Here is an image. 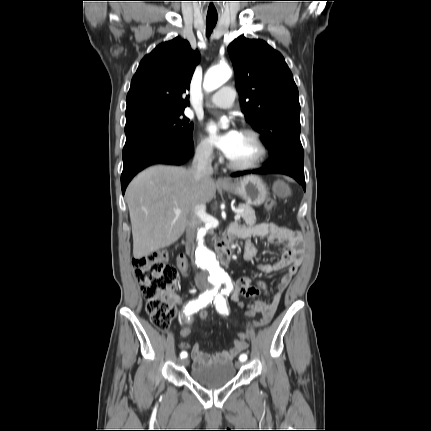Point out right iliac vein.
<instances>
[{
    "instance_id": "obj_1",
    "label": "right iliac vein",
    "mask_w": 431,
    "mask_h": 431,
    "mask_svg": "<svg viewBox=\"0 0 431 431\" xmlns=\"http://www.w3.org/2000/svg\"><path fill=\"white\" fill-rule=\"evenodd\" d=\"M180 363H181L182 365H187V364H188V360H187V359H184V360H182Z\"/></svg>"
}]
</instances>
